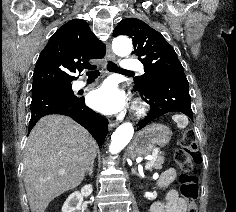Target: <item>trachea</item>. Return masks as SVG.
Segmentation results:
<instances>
[{
  "instance_id": "3493384b",
  "label": "trachea",
  "mask_w": 236,
  "mask_h": 212,
  "mask_svg": "<svg viewBox=\"0 0 236 212\" xmlns=\"http://www.w3.org/2000/svg\"><path fill=\"white\" fill-rule=\"evenodd\" d=\"M107 69L111 72H118V73H133L132 71H127L123 70L120 67H118L115 63L113 62H108L107 64ZM100 72L98 70L94 71H88L86 75L88 78H97L99 76Z\"/></svg>"
}]
</instances>
